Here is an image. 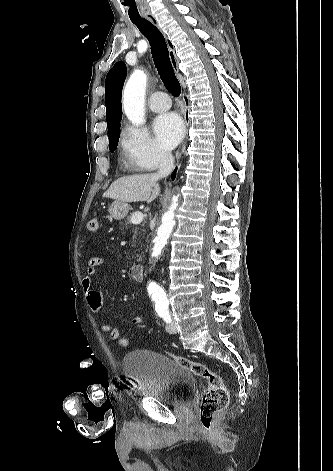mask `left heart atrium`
I'll use <instances>...</instances> for the list:
<instances>
[{
  "label": "left heart atrium",
  "mask_w": 333,
  "mask_h": 471,
  "mask_svg": "<svg viewBox=\"0 0 333 471\" xmlns=\"http://www.w3.org/2000/svg\"><path fill=\"white\" fill-rule=\"evenodd\" d=\"M154 131L159 143L166 149L173 148L182 138L184 126L175 113L159 116L154 122Z\"/></svg>",
  "instance_id": "1"
}]
</instances>
